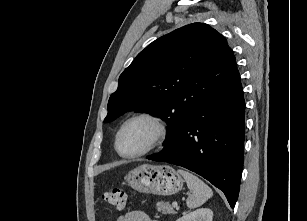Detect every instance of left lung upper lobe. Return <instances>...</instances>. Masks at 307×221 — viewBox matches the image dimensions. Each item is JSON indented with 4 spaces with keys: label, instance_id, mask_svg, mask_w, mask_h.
<instances>
[{
    "label": "left lung upper lobe",
    "instance_id": "obj_1",
    "mask_svg": "<svg viewBox=\"0 0 307 221\" xmlns=\"http://www.w3.org/2000/svg\"><path fill=\"white\" fill-rule=\"evenodd\" d=\"M236 69L226 39L209 25L193 23L176 29L148 45L120 75L104 122L131 110L150 113L170 127L166 145Z\"/></svg>",
    "mask_w": 307,
    "mask_h": 221
}]
</instances>
